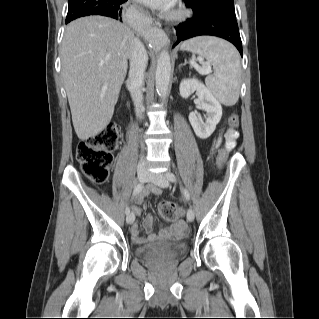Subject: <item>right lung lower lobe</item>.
I'll return each instance as SVG.
<instances>
[{
	"label": "right lung lower lobe",
	"instance_id": "obj_1",
	"mask_svg": "<svg viewBox=\"0 0 319 319\" xmlns=\"http://www.w3.org/2000/svg\"><path fill=\"white\" fill-rule=\"evenodd\" d=\"M125 1L127 0H112L110 3L98 5L87 12L78 14L77 18L89 15H102L121 20L122 8L120 5ZM69 22L66 20V23Z\"/></svg>",
	"mask_w": 319,
	"mask_h": 319
}]
</instances>
